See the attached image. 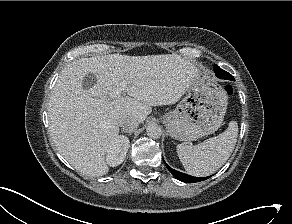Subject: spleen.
Here are the masks:
<instances>
[{
  "instance_id": "spleen-1",
  "label": "spleen",
  "mask_w": 292,
  "mask_h": 224,
  "mask_svg": "<svg viewBox=\"0 0 292 224\" xmlns=\"http://www.w3.org/2000/svg\"><path fill=\"white\" fill-rule=\"evenodd\" d=\"M238 137V124L231 121L227 130L198 145H177V154L192 176H208L222 167L232 154Z\"/></svg>"
}]
</instances>
